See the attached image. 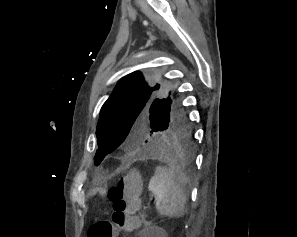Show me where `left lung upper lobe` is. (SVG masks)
Masks as SVG:
<instances>
[{
  "label": "left lung upper lobe",
  "instance_id": "1",
  "mask_svg": "<svg viewBox=\"0 0 297 237\" xmlns=\"http://www.w3.org/2000/svg\"><path fill=\"white\" fill-rule=\"evenodd\" d=\"M178 97L159 76L136 71L123 77L100 111L95 165L112 152L124 159L142 157L166 118L182 107Z\"/></svg>",
  "mask_w": 297,
  "mask_h": 237
}]
</instances>
